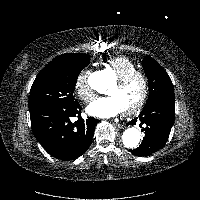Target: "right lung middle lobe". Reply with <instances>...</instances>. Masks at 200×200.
<instances>
[{
    "mask_svg": "<svg viewBox=\"0 0 200 200\" xmlns=\"http://www.w3.org/2000/svg\"><path fill=\"white\" fill-rule=\"evenodd\" d=\"M90 63L86 54L68 53L48 63L36 76L29 95V109L39 106L73 105L74 88L82 69Z\"/></svg>",
    "mask_w": 200,
    "mask_h": 200,
    "instance_id": "right-lung-middle-lobe-1",
    "label": "right lung middle lobe"
}]
</instances>
